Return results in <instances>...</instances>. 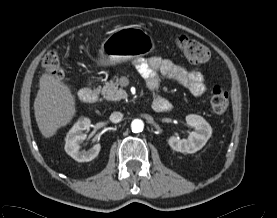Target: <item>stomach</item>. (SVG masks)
Masks as SVG:
<instances>
[{
  "mask_svg": "<svg viewBox=\"0 0 277 218\" xmlns=\"http://www.w3.org/2000/svg\"><path fill=\"white\" fill-rule=\"evenodd\" d=\"M155 44L151 36L137 26H125L113 31L99 50L101 63L115 65L152 52Z\"/></svg>",
  "mask_w": 277,
  "mask_h": 218,
  "instance_id": "stomach-1",
  "label": "stomach"
}]
</instances>
